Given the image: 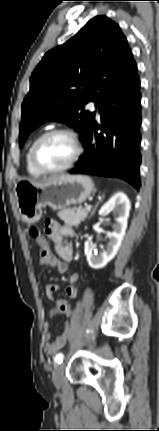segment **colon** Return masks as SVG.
I'll list each match as a JSON object with an SVG mask.
<instances>
[{
    "mask_svg": "<svg viewBox=\"0 0 159 431\" xmlns=\"http://www.w3.org/2000/svg\"><path fill=\"white\" fill-rule=\"evenodd\" d=\"M30 233L33 237H36V241L39 243V250L45 251L46 256H51V249H49V242H47V237L44 234H39V231L36 227H32L30 230ZM95 292H90L89 295H87V300H92L93 297H95ZM73 316L72 310H66V319H71Z\"/></svg>",
    "mask_w": 159,
    "mask_h": 431,
    "instance_id": "obj_1",
    "label": "colon"
}]
</instances>
